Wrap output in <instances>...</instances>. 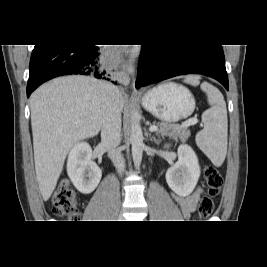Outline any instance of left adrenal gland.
I'll use <instances>...</instances> for the list:
<instances>
[{"mask_svg": "<svg viewBox=\"0 0 267 267\" xmlns=\"http://www.w3.org/2000/svg\"><path fill=\"white\" fill-rule=\"evenodd\" d=\"M146 136L150 138L151 141L155 142L156 144L159 143V140L155 136H151V134L146 133Z\"/></svg>", "mask_w": 267, "mask_h": 267, "instance_id": "left-adrenal-gland-1", "label": "left adrenal gland"}]
</instances>
